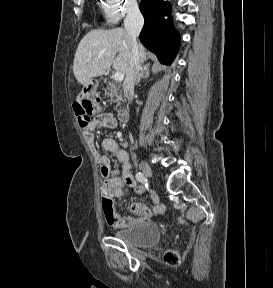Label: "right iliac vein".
Instances as JSON below:
<instances>
[{"mask_svg":"<svg viewBox=\"0 0 273 288\" xmlns=\"http://www.w3.org/2000/svg\"><path fill=\"white\" fill-rule=\"evenodd\" d=\"M140 167H141L142 172L144 173L145 176H147V177H151L152 176V169H151L150 165L147 162L142 161L140 163Z\"/></svg>","mask_w":273,"mask_h":288,"instance_id":"obj_1","label":"right iliac vein"}]
</instances>
